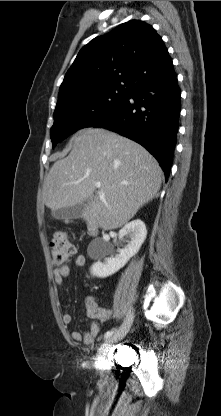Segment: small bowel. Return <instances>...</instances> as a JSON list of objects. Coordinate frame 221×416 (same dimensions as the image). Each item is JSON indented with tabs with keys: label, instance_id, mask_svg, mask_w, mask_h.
<instances>
[{
	"label": "small bowel",
	"instance_id": "1",
	"mask_svg": "<svg viewBox=\"0 0 221 416\" xmlns=\"http://www.w3.org/2000/svg\"><path fill=\"white\" fill-rule=\"evenodd\" d=\"M72 264L76 268L83 267L85 264V257L83 255H76L72 260ZM68 274L69 266L67 264H61L57 266L53 271L54 281L56 285L61 287L63 285L64 279L68 276ZM86 314L89 318L94 320L91 323L89 330L83 333L77 330H73L71 331L70 336L72 340L76 342H81L86 346H91L99 334V322H106L110 320L113 313L110 309L99 307L97 303L90 298L86 301ZM71 321L72 316L70 313L65 312L62 314L63 324L68 325L71 323Z\"/></svg>",
	"mask_w": 221,
	"mask_h": 416
}]
</instances>
